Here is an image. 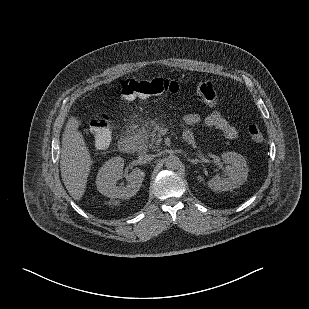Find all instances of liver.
I'll use <instances>...</instances> for the list:
<instances>
[{
    "instance_id": "liver-1",
    "label": "liver",
    "mask_w": 309,
    "mask_h": 309,
    "mask_svg": "<svg viewBox=\"0 0 309 309\" xmlns=\"http://www.w3.org/2000/svg\"><path fill=\"white\" fill-rule=\"evenodd\" d=\"M80 120L71 117L62 135L60 170L63 183L75 200L85 193L92 159L82 133L78 130Z\"/></svg>"
}]
</instances>
